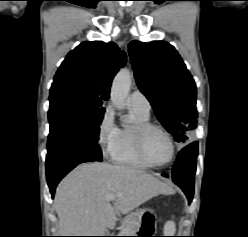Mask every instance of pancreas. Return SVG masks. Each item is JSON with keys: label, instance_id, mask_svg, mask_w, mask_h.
Masks as SVG:
<instances>
[{"label": "pancreas", "instance_id": "cf45deb5", "mask_svg": "<svg viewBox=\"0 0 248 237\" xmlns=\"http://www.w3.org/2000/svg\"><path fill=\"white\" fill-rule=\"evenodd\" d=\"M138 229V226L136 224H132L131 222H124L122 225L121 229V234L122 236H127V235H135L136 231Z\"/></svg>", "mask_w": 248, "mask_h": 237}]
</instances>
